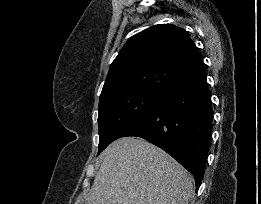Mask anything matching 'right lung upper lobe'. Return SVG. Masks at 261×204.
Segmentation results:
<instances>
[{"instance_id":"right-lung-upper-lobe-1","label":"right lung upper lobe","mask_w":261,"mask_h":204,"mask_svg":"<svg viewBox=\"0 0 261 204\" xmlns=\"http://www.w3.org/2000/svg\"><path fill=\"white\" fill-rule=\"evenodd\" d=\"M187 32L158 24L132 36L112 62L100 99L123 90L166 92L203 67Z\"/></svg>"}]
</instances>
